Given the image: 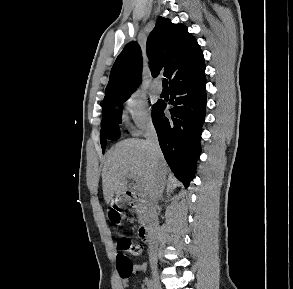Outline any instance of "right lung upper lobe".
<instances>
[{
  "label": "right lung upper lobe",
  "mask_w": 293,
  "mask_h": 289,
  "mask_svg": "<svg viewBox=\"0 0 293 289\" xmlns=\"http://www.w3.org/2000/svg\"><path fill=\"white\" fill-rule=\"evenodd\" d=\"M146 50L152 76L156 77L162 70L163 75L170 79V88L204 75L202 50L196 38L182 24H173L169 19L159 17L148 36ZM141 71V49L137 42L132 41L114 62L103 103L134 92Z\"/></svg>",
  "instance_id": "cb5924a9"
}]
</instances>
